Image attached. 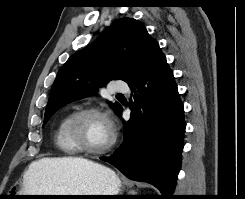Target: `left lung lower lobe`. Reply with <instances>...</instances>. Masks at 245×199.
<instances>
[{
	"label": "left lung lower lobe",
	"mask_w": 245,
	"mask_h": 199,
	"mask_svg": "<svg viewBox=\"0 0 245 199\" xmlns=\"http://www.w3.org/2000/svg\"><path fill=\"white\" fill-rule=\"evenodd\" d=\"M128 85L134 101L124 141L113 155L101 160L129 179L153 184L162 199H169L180 171L185 121L173 73L161 50Z\"/></svg>",
	"instance_id": "left-lung-lower-lobe-1"
}]
</instances>
